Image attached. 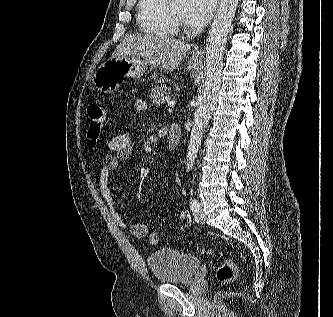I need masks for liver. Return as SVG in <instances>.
I'll use <instances>...</instances> for the list:
<instances>
[{"instance_id":"1","label":"liver","mask_w":333,"mask_h":317,"mask_svg":"<svg viewBox=\"0 0 333 317\" xmlns=\"http://www.w3.org/2000/svg\"><path fill=\"white\" fill-rule=\"evenodd\" d=\"M191 45L181 40L153 35L132 34L116 47L112 58L143 59L164 71H174Z\"/></svg>"}]
</instances>
